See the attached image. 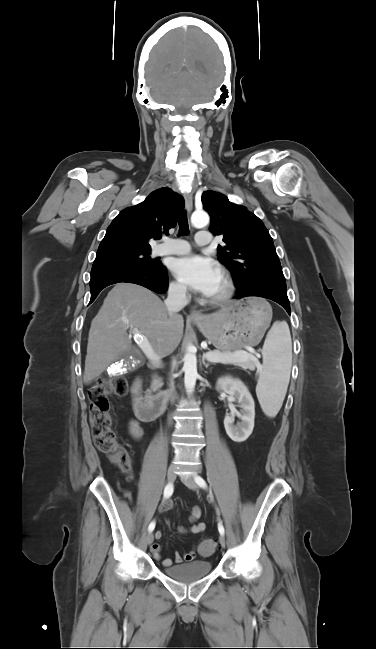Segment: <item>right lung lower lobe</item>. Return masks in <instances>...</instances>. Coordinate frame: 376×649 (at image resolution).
I'll list each match as a JSON object with an SVG mask.
<instances>
[{
	"mask_svg": "<svg viewBox=\"0 0 376 649\" xmlns=\"http://www.w3.org/2000/svg\"><path fill=\"white\" fill-rule=\"evenodd\" d=\"M119 282L138 284L156 293H163L168 288L166 267L161 262L154 267L114 264L91 270L90 303L102 289Z\"/></svg>",
	"mask_w": 376,
	"mask_h": 649,
	"instance_id": "obj_1",
	"label": "right lung lower lobe"
}]
</instances>
